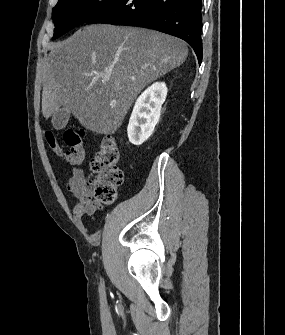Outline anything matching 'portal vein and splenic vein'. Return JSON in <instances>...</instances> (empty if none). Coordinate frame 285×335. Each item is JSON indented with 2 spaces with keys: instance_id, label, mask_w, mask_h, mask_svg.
Wrapping results in <instances>:
<instances>
[{
  "instance_id": "18ae733b",
  "label": "portal vein and splenic vein",
  "mask_w": 285,
  "mask_h": 335,
  "mask_svg": "<svg viewBox=\"0 0 285 335\" xmlns=\"http://www.w3.org/2000/svg\"><path fill=\"white\" fill-rule=\"evenodd\" d=\"M105 80H109V78H105Z\"/></svg>"
}]
</instances>
